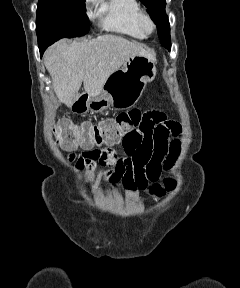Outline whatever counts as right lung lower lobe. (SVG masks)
Returning a JSON list of instances; mask_svg holds the SVG:
<instances>
[{
  "instance_id": "right-lung-lower-lobe-1",
  "label": "right lung lower lobe",
  "mask_w": 240,
  "mask_h": 288,
  "mask_svg": "<svg viewBox=\"0 0 240 288\" xmlns=\"http://www.w3.org/2000/svg\"><path fill=\"white\" fill-rule=\"evenodd\" d=\"M48 46L47 45H44V46H39V50H40V56L42 57L45 49L47 48Z\"/></svg>"
}]
</instances>
